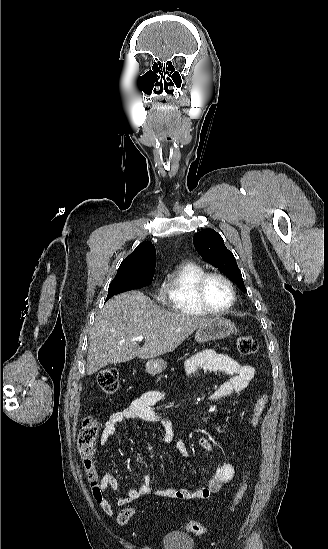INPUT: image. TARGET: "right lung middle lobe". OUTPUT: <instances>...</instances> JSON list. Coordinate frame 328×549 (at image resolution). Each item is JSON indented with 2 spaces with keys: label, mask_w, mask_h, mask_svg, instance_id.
Returning <instances> with one entry per match:
<instances>
[{
  "label": "right lung middle lobe",
  "mask_w": 328,
  "mask_h": 549,
  "mask_svg": "<svg viewBox=\"0 0 328 549\" xmlns=\"http://www.w3.org/2000/svg\"><path fill=\"white\" fill-rule=\"evenodd\" d=\"M156 262H146L118 271L109 285L107 299L113 295L148 285L152 282Z\"/></svg>",
  "instance_id": "dd1d6c3e"
}]
</instances>
